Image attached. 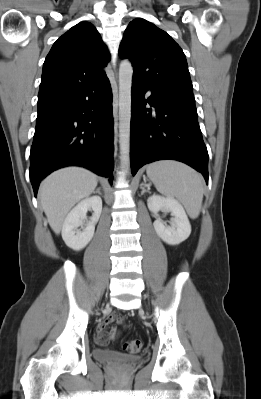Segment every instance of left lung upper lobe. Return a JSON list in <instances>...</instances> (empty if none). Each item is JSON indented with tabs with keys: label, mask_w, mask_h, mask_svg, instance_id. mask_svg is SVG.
Listing matches in <instances>:
<instances>
[{
	"label": "left lung upper lobe",
	"mask_w": 261,
	"mask_h": 399,
	"mask_svg": "<svg viewBox=\"0 0 261 399\" xmlns=\"http://www.w3.org/2000/svg\"><path fill=\"white\" fill-rule=\"evenodd\" d=\"M119 56L129 58L133 79L152 90L193 96L186 57L165 31L144 19H134L125 30Z\"/></svg>",
	"instance_id": "obj_1"
}]
</instances>
